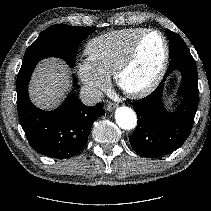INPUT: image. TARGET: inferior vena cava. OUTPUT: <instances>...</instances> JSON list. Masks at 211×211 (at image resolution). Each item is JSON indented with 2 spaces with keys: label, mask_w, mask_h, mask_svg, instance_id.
<instances>
[{
  "label": "inferior vena cava",
  "mask_w": 211,
  "mask_h": 211,
  "mask_svg": "<svg viewBox=\"0 0 211 211\" xmlns=\"http://www.w3.org/2000/svg\"><path fill=\"white\" fill-rule=\"evenodd\" d=\"M103 97V93L97 88L83 86L80 91L81 102L87 106H94L99 103Z\"/></svg>",
  "instance_id": "obj_1"
}]
</instances>
